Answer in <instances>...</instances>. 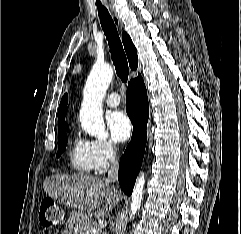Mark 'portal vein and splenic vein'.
<instances>
[{"mask_svg": "<svg viewBox=\"0 0 241 234\" xmlns=\"http://www.w3.org/2000/svg\"><path fill=\"white\" fill-rule=\"evenodd\" d=\"M98 229H101V227L99 225H95L93 228H92V231H97Z\"/></svg>", "mask_w": 241, "mask_h": 234, "instance_id": "obj_1", "label": "portal vein and splenic vein"}]
</instances>
